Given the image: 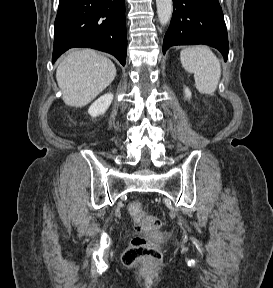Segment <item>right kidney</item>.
<instances>
[{"mask_svg": "<svg viewBox=\"0 0 273 288\" xmlns=\"http://www.w3.org/2000/svg\"><path fill=\"white\" fill-rule=\"evenodd\" d=\"M113 100V94L107 93L99 97L88 109V113L92 117H97L98 115L104 114Z\"/></svg>", "mask_w": 273, "mask_h": 288, "instance_id": "1", "label": "right kidney"}]
</instances>
